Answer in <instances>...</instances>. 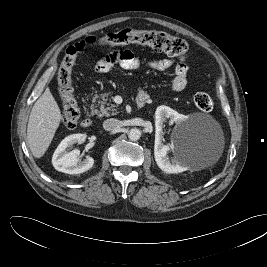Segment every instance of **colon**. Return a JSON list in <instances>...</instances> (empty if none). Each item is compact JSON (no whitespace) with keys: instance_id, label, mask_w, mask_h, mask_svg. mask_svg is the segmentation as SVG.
Masks as SVG:
<instances>
[{"instance_id":"obj_1","label":"colon","mask_w":267,"mask_h":267,"mask_svg":"<svg viewBox=\"0 0 267 267\" xmlns=\"http://www.w3.org/2000/svg\"><path fill=\"white\" fill-rule=\"evenodd\" d=\"M129 43L147 45L155 51L164 52L180 59H186L189 56V46L184 39L161 30L125 28L117 32L108 33L99 39L88 37L79 43L69 46L57 75L59 95L63 104L62 122L67 128H74L80 117V110L72 85V68L76 62L77 55L85 50L95 49L99 46ZM193 101L201 111L208 112L213 108V99L208 93H196Z\"/></svg>"}]
</instances>
